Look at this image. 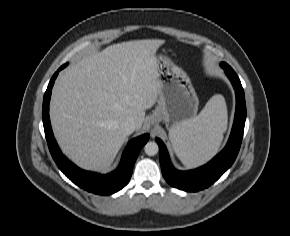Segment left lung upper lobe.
Returning <instances> with one entry per match:
<instances>
[{
    "label": "left lung upper lobe",
    "instance_id": "1",
    "mask_svg": "<svg viewBox=\"0 0 290 236\" xmlns=\"http://www.w3.org/2000/svg\"><path fill=\"white\" fill-rule=\"evenodd\" d=\"M222 66H228L226 63H221Z\"/></svg>",
    "mask_w": 290,
    "mask_h": 236
}]
</instances>
